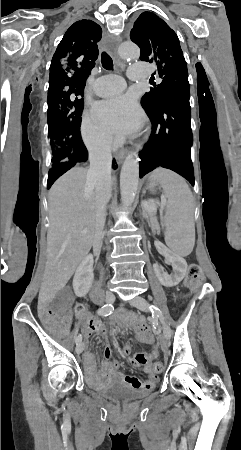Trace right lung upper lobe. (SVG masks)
I'll return each instance as SVG.
<instances>
[{"mask_svg":"<svg viewBox=\"0 0 241 450\" xmlns=\"http://www.w3.org/2000/svg\"><path fill=\"white\" fill-rule=\"evenodd\" d=\"M101 27L83 19L69 27L59 43L50 65L48 97L74 88L83 90L99 55Z\"/></svg>","mask_w":241,"mask_h":450,"instance_id":"1","label":"right lung upper lobe"}]
</instances>
